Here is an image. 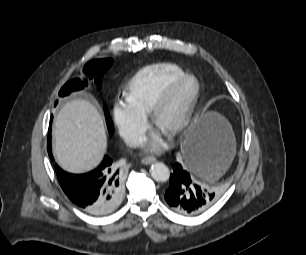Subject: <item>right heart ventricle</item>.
I'll list each match as a JSON object with an SVG mask.
<instances>
[{
	"label": "right heart ventricle",
	"mask_w": 306,
	"mask_h": 255,
	"mask_svg": "<svg viewBox=\"0 0 306 255\" xmlns=\"http://www.w3.org/2000/svg\"><path fill=\"white\" fill-rule=\"evenodd\" d=\"M185 75L182 68L172 63L148 65L140 69L128 82L124 91L126 101L145 116L158 97Z\"/></svg>",
	"instance_id": "obj_1"
}]
</instances>
